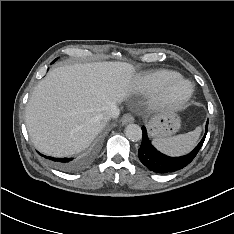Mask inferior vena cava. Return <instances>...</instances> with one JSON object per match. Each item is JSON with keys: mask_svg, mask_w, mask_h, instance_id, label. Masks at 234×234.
I'll use <instances>...</instances> for the list:
<instances>
[{"mask_svg": "<svg viewBox=\"0 0 234 234\" xmlns=\"http://www.w3.org/2000/svg\"><path fill=\"white\" fill-rule=\"evenodd\" d=\"M120 114V110L118 107L116 106H113L111 108H109L108 110H106L105 112H103L101 115H100V119L107 123V121L111 120V119H116L118 118Z\"/></svg>", "mask_w": 234, "mask_h": 234, "instance_id": "602c4592", "label": "inferior vena cava"}]
</instances>
